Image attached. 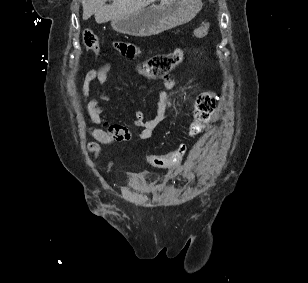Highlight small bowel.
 <instances>
[{
  "label": "small bowel",
  "instance_id": "1",
  "mask_svg": "<svg viewBox=\"0 0 308 283\" xmlns=\"http://www.w3.org/2000/svg\"><path fill=\"white\" fill-rule=\"evenodd\" d=\"M115 48L122 54L128 57H135L141 53V49L132 44L116 43ZM110 66H104L99 70H89L83 79L82 96L85 100L84 111L87 121L96 125L91 126L88 130L89 135L93 141L87 145L88 151L97 158L101 152L103 145H110L113 142H126L131 138V131L129 128L113 124L108 121L103 113L101 101H107L109 98L106 94L101 93L98 99L88 100L91 85L97 82L101 89L108 85ZM169 87V86H168ZM166 95L161 93L158 102L157 113L152 119H147L145 113L141 110L135 112L134 125L139 129V137L141 139H148L152 136L154 129L166 117ZM112 162H108L102 168L109 169ZM193 166L191 163H186L177 168V172L192 177Z\"/></svg>",
  "mask_w": 308,
  "mask_h": 283
}]
</instances>
